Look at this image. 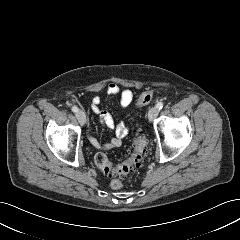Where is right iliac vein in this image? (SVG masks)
<instances>
[{
	"label": "right iliac vein",
	"mask_w": 240,
	"mask_h": 240,
	"mask_svg": "<svg viewBox=\"0 0 240 240\" xmlns=\"http://www.w3.org/2000/svg\"><path fill=\"white\" fill-rule=\"evenodd\" d=\"M76 117L81 125H85L86 123V115L83 111H78Z\"/></svg>",
	"instance_id": "63e3f726"
}]
</instances>
